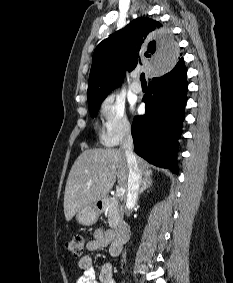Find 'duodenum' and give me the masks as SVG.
<instances>
[{
	"mask_svg": "<svg viewBox=\"0 0 233 283\" xmlns=\"http://www.w3.org/2000/svg\"><path fill=\"white\" fill-rule=\"evenodd\" d=\"M105 206L104 203L98 205L99 209H103ZM129 238V228L126 224H120L114 234V245L116 250L119 252L121 251L122 245L126 242Z\"/></svg>",
	"mask_w": 233,
	"mask_h": 283,
	"instance_id": "duodenum-1",
	"label": "duodenum"
}]
</instances>
